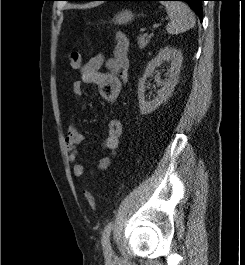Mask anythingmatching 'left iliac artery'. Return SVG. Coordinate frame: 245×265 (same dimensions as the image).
Listing matches in <instances>:
<instances>
[{"instance_id": "1", "label": "left iliac artery", "mask_w": 245, "mask_h": 265, "mask_svg": "<svg viewBox=\"0 0 245 265\" xmlns=\"http://www.w3.org/2000/svg\"><path fill=\"white\" fill-rule=\"evenodd\" d=\"M112 229H113V223L109 222L105 226L104 231L102 233L101 243H102V246H103L104 254L107 255V256H111L112 253H113L111 245H110V239H109Z\"/></svg>"}]
</instances>
